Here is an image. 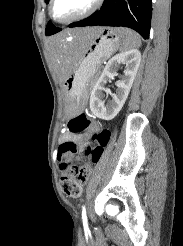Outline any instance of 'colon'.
<instances>
[{
    "label": "colon",
    "instance_id": "obj_1",
    "mask_svg": "<svg viewBox=\"0 0 183 246\" xmlns=\"http://www.w3.org/2000/svg\"><path fill=\"white\" fill-rule=\"evenodd\" d=\"M90 119L85 114L74 117L69 122V130L74 134L84 133L90 126ZM110 137L107 129L94 132L95 145L86 149L89 162L80 166L70 157L76 151V144L67 141L59 146L58 159L61 166V186L63 193L69 198H78L82 193V187L89 180L92 173V166L99 162Z\"/></svg>",
    "mask_w": 183,
    "mask_h": 246
}]
</instances>
